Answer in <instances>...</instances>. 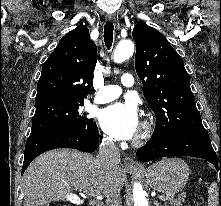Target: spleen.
Here are the masks:
<instances>
[{"label": "spleen", "instance_id": "obj_1", "mask_svg": "<svg viewBox=\"0 0 221 206\" xmlns=\"http://www.w3.org/2000/svg\"><path fill=\"white\" fill-rule=\"evenodd\" d=\"M208 193H209L208 205L218 206L219 198H218V192L216 190L215 184L211 185Z\"/></svg>", "mask_w": 221, "mask_h": 206}]
</instances>
